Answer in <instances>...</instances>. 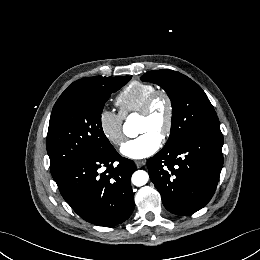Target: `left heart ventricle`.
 <instances>
[{
	"label": "left heart ventricle",
	"instance_id": "b2bd125f",
	"mask_svg": "<svg viewBox=\"0 0 260 260\" xmlns=\"http://www.w3.org/2000/svg\"><path fill=\"white\" fill-rule=\"evenodd\" d=\"M167 116V104L163 98H158L148 116H139L138 131L140 134L154 132L160 136Z\"/></svg>",
	"mask_w": 260,
	"mask_h": 260
}]
</instances>
